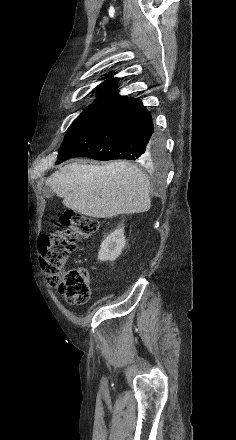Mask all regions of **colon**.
I'll return each instance as SVG.
<instances>
[{
  "label": "colon",
  "instance_id": "obj_1",
  "mask_svg": "<svg viewBox=\"0 0 236 440\" xmlns=\"http://www.w3.org/2000/svg\"><path fill=\"white\" fill-rule=\"evenodd\" d=\"M61 229L40 236L41 267L50 285L71 304H85L90 298V276L83 267H67L79 242L88 240L99 229L96 219L73 211L64 212Z\"/></svg>",
  "mask_w": 236,
  "mask_h": 440
}]
</instances>
